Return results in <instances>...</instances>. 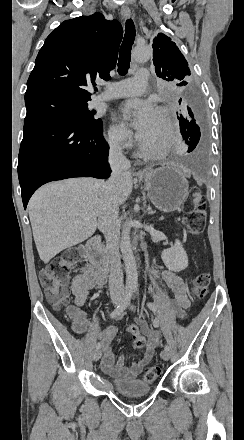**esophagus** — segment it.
Segmentation results:
<instances>
[{"mask_svg":"<svg viewBox=\"0 0 244 440\" xmlns=\"http://www.w3.org/2000/svg\"><path fill=\"white\" fill-rule=\"evenodd\" d=\"M121 15H122L123 18L128 19L130 17V15H131V11H130L129 7H122L121 8ZM149 168L150 167H146L144 169V171H147Z\"/></svg>","mask_w":244,"mask_h":440,"instance_id":"obj_1","label":"esophagus"}]
</instances>
